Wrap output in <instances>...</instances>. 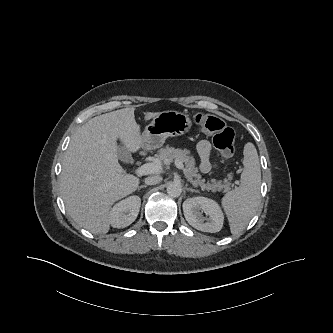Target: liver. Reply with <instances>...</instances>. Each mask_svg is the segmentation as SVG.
<instances>
[{"mask_svg": "<svg viewBox=\"0 0 333 333\" xmlns=\"http://www.w3.org/2000/svg\"><path fill=\"white\" fill-rule=\"evenodd\" d=\"M135 108H124L90 119L72 136L62 163L61 195L67 213L93 234L110 229L111 206L133 193L140 179L118 163L117 140L129 150L143 148ZM158 112L144 113L145 121Z\"/></svg>", "mask_w": 333, "mask_h": 333, "instance_id": "1", "label": "liver"}]
</instances>
